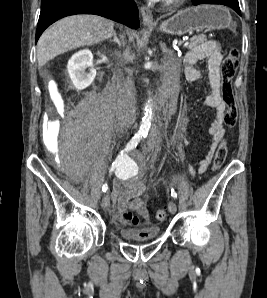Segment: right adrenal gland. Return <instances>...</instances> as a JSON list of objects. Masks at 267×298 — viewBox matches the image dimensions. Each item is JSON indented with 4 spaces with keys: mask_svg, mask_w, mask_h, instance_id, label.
Wrapping results in <instances>:
<instances>
[{
    "mask_svg": "<svg viewBox=\"0 0 267 298\" xmlns=\"http://www.w3.org/2000/svg\"><path fill=\"white\" fill-rule=\"evenodd\" d=\"M110 41H113V42H116L119 46H121V42H120V40L118 39V37H117V33L116 32H114V34H113V39H109Z\"/></svg>",
    "mask_w": 267,
    "mask_h": 298,
    "instance_id": "2a0ac1e0",
    "label": "right adrenal gland"
}]
</instances>
